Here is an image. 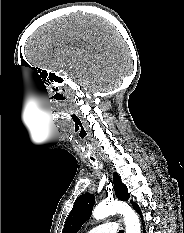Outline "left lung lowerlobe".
Returning a JSON list of instances; mask_svg holds the SVG:
<instances>
[{
    "mask_svg": "<svg viewBox=\"0 0 184 233\" xmlns=\"http://www.w3.org/2000/svg\"><path fill=\"white\" fill-rule=\"evenodd\" d=\"M132 205L138 211V213L140 214V217L142 218V213H141V210H140L139 206L136 203H133ZM143 233H145V230L143 231Z\"/></svg>",
    "mask_w": 184,
    "mask_h": 233,
    "instance_id": "0a47b994",
    "label": "left lung lower lobe"
}]
</instances>
